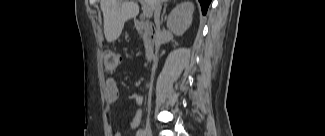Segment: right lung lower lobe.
<instances>
[{
  "label": "right lung lower lobe",
  "mask_w": 325,
  "mask_h": 136,
  "mask_svg": "<svg viewBox=\"0 0 325 136\" xmlns=\"http://www.w3.org/2000/svg\"><path fill=\"white\" fill-rule=\"evenodd\" d=\"M199 2L201 4L202 13L205 15L211 0H199Z\"/></svg>",
  "instance_id": "obj_1"
}]
</instances>
